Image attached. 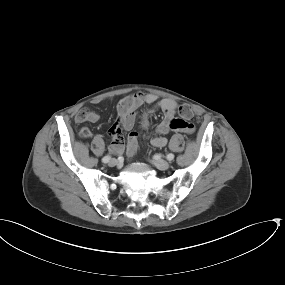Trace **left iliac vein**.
<instances>
[{
  "label": "left iliac vein",
  "instance_id": "1",
  "mask_svg": "<svg viewBox=\"0 0 285 285\" xmlns=\"http://www.w3.org/2000/svg\"><path fill=\"white\" fill-rule=\"evenodd\" d=\"M152 162L159 170H167L170 167V163L163 159L154 158Z\"/></svg>",
  "mask_w": 285,
  "mask_h": 285
}]
</instances>
